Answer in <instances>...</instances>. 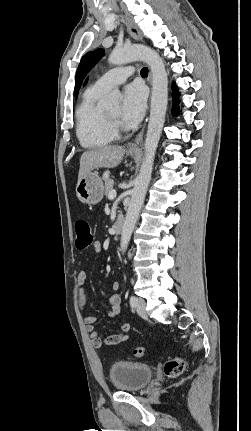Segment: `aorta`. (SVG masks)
<instances>
[{"instance_id": "obj_1", "label": "aorta", "mask_w": 251, "mask_h": 431, "mask_svg": "<svg viewBox=\"0 0 251 431\" xmlns=\"http://www.w3.org/2000/svg\"><path fill=\"white\" fill-rule=\"evenodd\" d=\"M146 62L152 72V96L148 129L145 139V156L131 193V201L126 213L120 240V250L124 253L128 247L135 228L141 207L144 203L148 185L151 180L154 158L165 122L168 103V77L165 64L159 54L144 45L116 48L109 62L122 65L131 61ZM117 105L115 94H110L104 102L105 107Z\"/></svg>"}]
</instances>
